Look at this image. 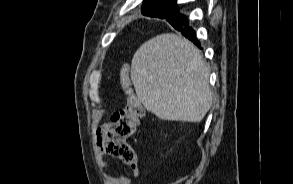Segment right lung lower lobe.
Masks as SVG:
<instances>
[{"label": "right lung lower lobe", "instance_id": "98d812e1", "mask_svg": "<svg viewBox=\"0 0 293 184\" xmlns=\"http://www.w3.org/2000/svg\"><path fill=\"white\" fill-rule=\"evenodd\" d=\"M167 20L175 29L181 31L185 37H187L195 45L200 47V43L196 39L195 31L192 28L185 26L187 20L184 15L177 13L172 18H169Z\"/></svg>", "mask_w": 293, "mask_h": 184}]
</instances>
